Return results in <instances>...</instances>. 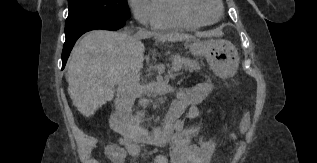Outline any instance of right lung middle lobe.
Segmentation results:
<instances>
[{"instance_id":"obj_1","label":"right lung middle lobe","mask_w":317,"mask_h":163,"mask_svg":"<svg viewBox=\"0 0 317 163\" xmlns=\"http://www.w3.org/2000/svg\"><path fill=\"white\" fill-rule=\"evenodd\" d=\"M65 34L99 20H127L130 11L126 0H69Z\"/></svg>"}]
</instances>
